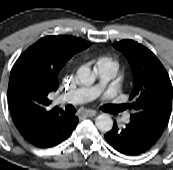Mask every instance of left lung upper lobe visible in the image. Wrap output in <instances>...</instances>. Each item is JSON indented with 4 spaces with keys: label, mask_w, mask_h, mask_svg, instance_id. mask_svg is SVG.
Returning a JSON list of instances; mask_svg holds the SVG:
<instances>
[{
    "label": "left lung upper lobe",
    "mask_w": 173,
    "mask_h": 170,
    "mask_svg": "<svg viewBox=\"0 0 173 170\" xmlns=\"http://www.w3.org/2000/svg\"><path fill=\"white\" fill-rule=\"evenodd\" d=\"M132 69L134 85L130 95L131 121L152 130L157 136L164 131L172 109L173 88L166 69L145 46L123 40L114 44Z\"/></svg>",
    "instance_id": "left-lung-upper-lobe-1"
}]
</instances>
